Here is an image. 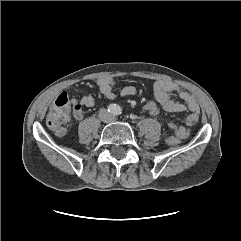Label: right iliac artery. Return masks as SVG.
<instances>
[{
  "mask_svg": "<svg viewBox=\"0 0 241 241\" xmlns=\"http://www.w3.org/2000/svg\"><path fill=\"white\" fill-rule=\"evenodd\" d=\"M115 105L114 104H110L109 106H108V111L109 112H111V113H114L115 112Z\"/></svg>",
  "mask_w": 241,
  "mask_h": 241,
  "instance_id": "obj_1",
  "label": "right iliac artery"
}]
</instances>
